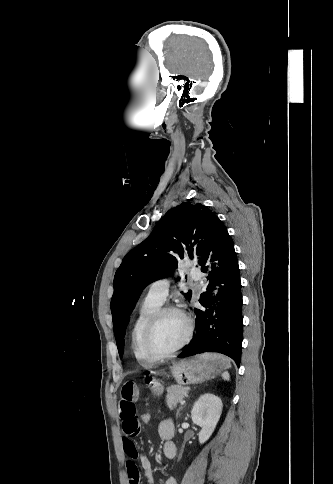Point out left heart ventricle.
Listing matches in <instances>:
<instances>
[{"instance_id":"left-heart-ventricle-1","label":"left heart ventricle","mask_w":333,"mask_h":484,"mask_svg":"<svg viewBox=\"0 0 333 484\" xmlns=\"http://www.w3.org/2000/svg\"><path fill=\"white\" fill-rule=\"evenodd\" d=\"M187 332V323L178 313L164 315L152 336V347L156 352L166 353L178 346Z\"/></svg>"}]
</instances>
